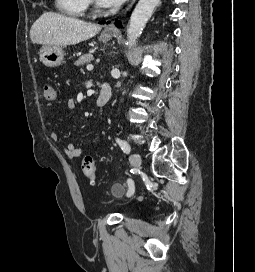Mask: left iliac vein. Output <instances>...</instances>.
Instances as JSON below:
<instances>
[{
    "label": "left iliac vein",
    "instance_id": "left-iliac-vein-1",
    "mask_svg": "<svg viewBox=\"0 0 255 272\" xmlns=\"http://www.w3.org/2000/svg\"><path fill=\"white\" fill-rule=\"evenodd\" d=\"M130 162L135 169H140L142 164L141 156L139 154H131Z\"/></svg>",
    "mask_w": 255,
    "mask_h": 272
}]
</instances>
